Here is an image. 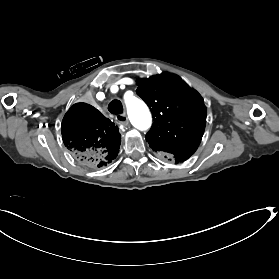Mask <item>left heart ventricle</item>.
I'll return each mask as SVG.
<instances>
[{
	"label": "left heart ventricle",
	"mask_w": 279,
	"mask_h": 279,
	"mask_svg": "<svg viewBox=\"0 0 279 279\" xmlns=\"http://www.w3.org/2000/svg\"><path fill=\"white\" fill-rule=\"evenodd\" d=\"M106 73H107V70H104V72H102V74H100V76H98L99 83H101L104 80Z\"/></svg>",
	"instance_id": "b2bd125f"
}]
</instances>
